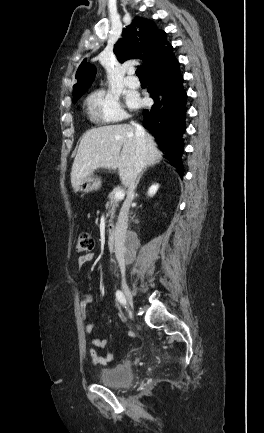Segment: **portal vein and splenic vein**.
<instances>
[{
  "mask_svg": "<svg viewBox=\"0 0 264 433\" xmlns=\"http://www.w3.org/2000/svg\"><path fill=\"white\" fill-rule=\"evenodd\" d=\"M124 196H125V192L123 190H117L114 195L115 199L117 200H122Z\"/></svg>",
  "mask_w": 264,
  "mask_h": 433,
  "instance_id": "1",
  "label": "portal vein and splenic vein"
}]
</instances>
